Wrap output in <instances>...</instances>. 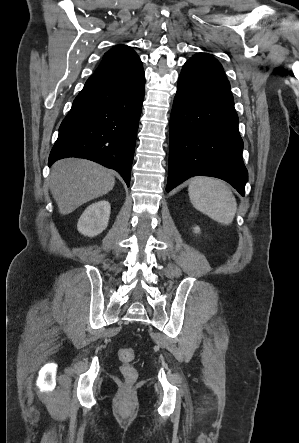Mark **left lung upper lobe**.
<instances>
[{
  "label": "left lung upper lobe",
  "instance_id": "left-lung-upper-lobe-1",
  "mask_svg": "<svg viewBox=\"0 0 299 443\" xmlns=\"http://www.w3.org/2000/svg\"><path fill=\"white\" fill-rule=\"evenodd\" d=\"M186 64L226 77L222 65L210 54L198 53L191 57Z\"/></svg>",
  "mask_w": 299,
  "mask_h": 443
}]
</instances>
